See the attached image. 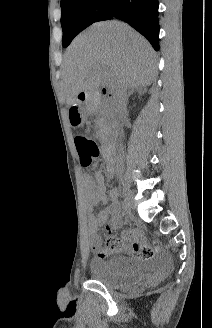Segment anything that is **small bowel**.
<instances>
[{
  "instance_id": "obj_1",
  "label": "small bowel",
  "mask_w": 212,
  "mask_h": 328,
  "mask_svg": "<svg viewBox=\"0 0 212 328\" xmlns=\"http://www.w3.org/2000/svg\"><path fill=\"white\" fill-rule=\"evenodd\" d=\"M83 193L86 206L89 213V230L91 235V247L94 251L101 248V238L97 234L98 229L105 223L109 214H111L110 226L118 228L122 224V213L117 201L118 193L115 189L110 190V204L97 213L93 208L99 203L107 202L106 185L104 176L96 172L93 177L84 175ZM140 232L137 228L126 229L122 232L121 239H114L113 248L110 250L117 253L133 254L140 258H147L153 254V250L144 242L139 240ZM104 252L99 253L100 258H104Z\"/></svg>"
}]
</instances>
